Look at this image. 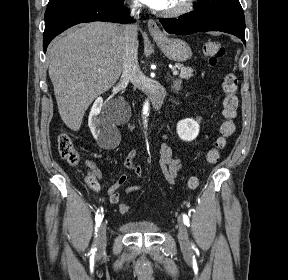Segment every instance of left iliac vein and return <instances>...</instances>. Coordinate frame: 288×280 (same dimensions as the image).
<instances>
[{"label":"left iliac vein","mask_w":288,"mask_h":280,"mask_svg":"<svg viewBox=\"0 0 288 280\" xmlns=\"http://www.w3.org/2000/svg\"><path fill=\"white\" fill-rule=\"evenodd\" d=\"M178 240L183 249L188 250L190 248L187 228L181 217L178 218Z\"/></svg>","instance_id":"left-iliac-vein-1"}]
</instances>
